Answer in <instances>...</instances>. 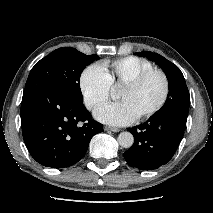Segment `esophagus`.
Segmentation results:
<instances>
[{
  "label": "esophagus",
  "instance_id": "1",
  "mask_svg": "<svg viewBox=\"0 0 213 213\" xmlns=\"http://www.w3.org/2000/svg\"><path fill=\"white\" fill-rule=\"evenodd\" d=\"M104 130H105V131H111V132H119V131H120L119 128L112 127V126H105V127H104Z\"/></svg>",
  "mask_w": 213,
  "mask_h": 213
}]
</instances>
